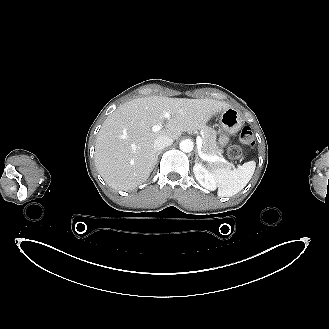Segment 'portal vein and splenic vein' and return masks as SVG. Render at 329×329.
<instances>
[{"instance_id":"1","label":"portal vein and splenic vein","mask_w":329,"mask_h":329,"mask_svg":"<svg viewBox=\"0 0 329 329\" xmlns=\"http://www.w3.org/2000/svg\"><path fill=\"white\" fill-rule=\"evenodd\" d=\"M164 117L169 119L171 117L170 113L169 112H165L164 113ZM162 129V126L161 125H154L152 127V131L153 132H158L159 130ZM202 144H203V140L201 137H198L197 138V147H198V153L199 155L201 156V158L205 161H208V162H216V161H220V162H224L228 165H231L229 162H226L223 158L221 157H218V156H209V155H205L201 152V148H202Z\"/></svg>"}]
</instances>
